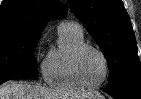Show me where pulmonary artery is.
Here are the masks:
<instances>
[{
  "instance_id": "1",
  "label": "pulmonary artery",
  "mask_w": 141,
  "mask_h": 99,
  "mask_svg": "<svg viewBox=\"0 0 141 99\" xmlns=\"http://www.w3.org/2000/svg\"><path fill=\"white\" fill-rule=\"evenodd\" d=\"M58 32L63 33V32H71L75 34H83L82 27L73 21H66L62 22L58 26Z\"/></svg>"
}]
</instances>
